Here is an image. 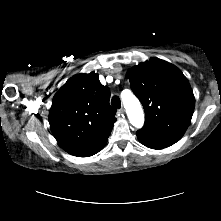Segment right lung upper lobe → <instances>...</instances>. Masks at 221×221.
Segmentation results:
<instances>
[{
    "mask_svg": "<svg viewBox=\"0 0 221 221\" xmlns=\"http://www.w3.org/2000/svg\"><path fill=\"white\" fill-rule=\"evenodd\" d=\"M110 90L98 74H78L55 94L49 114L51 131L69 154L88 157L105 146L116 121Z\"/></svg>",
    "mask_w": 221,
    "mask_h": 221,
    "instance_id": "obj_1",
    "label": "right lung upper lobe"
}]
</instances>
